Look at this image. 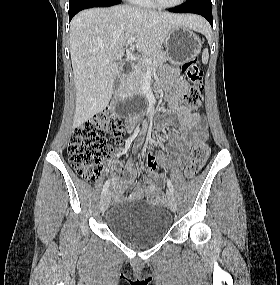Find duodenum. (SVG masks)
I'll return each instance as SVG.
<instances>
[{
	"instance_id": "duodenum-1",
	"label": "duodenum",
	"mask_w": 280,
	"mask_h": 285,
	"mask_svg": "<svg viewBox=\"0 0 280 285\" xmlns=\"http://www.w3.org/2000/svg\"><path fill=\"white\" fill-rule=\"evenodd\" d=\"M114 106H115L116 108H120V106H121V101H120V100L115 101Z\"/></svg>"
}]
</instances>
